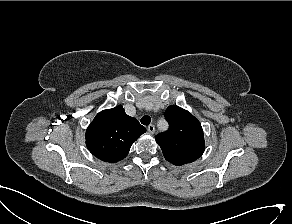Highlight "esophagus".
<instances>
[{"label":"esophagus","instance_id":"esophagus-1","mask_svg":"<svg viewBox=\"0 0 292 224\" xmlns=\"http://www.w3.org/2000/svg\"><path fill=\"white\" fill-rule=\"evenodd\" d=\"M147 131H148L150 134H154V132H155V127H154V125L150 124V125L147 127Z\"/></svg>","mask_w":292,"mask_h":224}]
</instances>
